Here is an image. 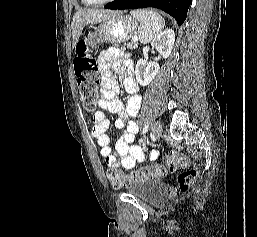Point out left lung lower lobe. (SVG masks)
<instances>
[{"instance_id": "0a47b994", "label": "left lung lower lobe", "mask_w": 257, "mask_h": 237, "mask_svg": "<svg viewBox=\"0 0 257 237\" xmlns=\"http://www.w3.org/2000/svg\"><path fill=\"white\" fill-rule=\"evenodd\" d=\"M191 2L192 0H116L108 3L105 8L121 10L154 7L170 14L180 26L186 19Z\"/></svg>"}]
</instances>
